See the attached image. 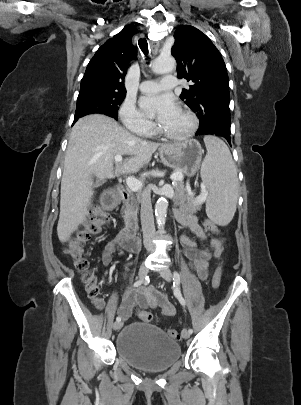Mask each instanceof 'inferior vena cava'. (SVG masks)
<instances>
[{"label":"inferior vena cava","mask_w":301,"mask_h":405,"mask_svg":"<svg viewBox=\"0 0 301 405\" xmlns=\"http://www.w3.org/2000/svg\"><path fill=\"white\" fill-rule=\"evenodd\" d=\"M141 202V225L143 232V242L147 251L153 250L152 239L155 234L154 216L151 203V191L146 188L140 195Z\"/></svg>","instance_id":"obj_1"}]
</instances>
